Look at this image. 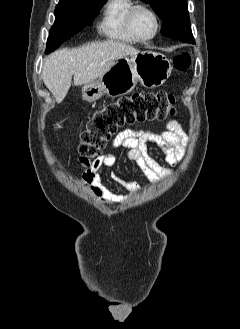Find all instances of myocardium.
Listing matches in <instances>:
<instances>
[{
    "label": "myocardium",
    "instance_id": "1",
    "mask_svg": "<svg viewBox=\"0 0 240 329\" xmlns=\"http://www.w3.org/2000/svg\"><path fill=\"white\" fill-rule=\"evenodd\" d=\"M141 9L147 10L152 15V17L155 21V29H154L153 33L148 37H140L134 29L133 21H134L135 14L137 13V11H139ZM126 26H127V30L129 32V34L136 41L147 42V41L152 40L158 34L160 27H161V22H160V17L158 15L157 11L151 5L146 4V3H137L130 9V11L127 15Z\"/></svg>",
    "mask_w": 240,
    "mask_h": 329
}]
</instances>
